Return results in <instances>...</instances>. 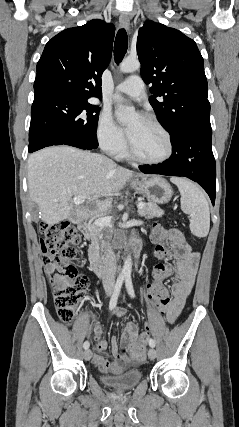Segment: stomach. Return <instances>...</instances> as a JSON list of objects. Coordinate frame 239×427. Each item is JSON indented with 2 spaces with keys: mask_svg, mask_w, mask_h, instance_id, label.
<instances>
[{
  "mask_svg": "<svg viewBox=\"0 0 239 427\" xmlns=\"http://www.w3.org/2000/svg\"><path fill=\"white\" fill-rule=\"evenodd\" d=\"M132 187L141 195L157 204L169 202L173 195L170 184L162 177H143L141 180L131 182Z\"/></svg>",
  "mask_w": 239,
  "mask_h": 427,
  "instance_id": "1",
  "label": "stomach"
}]
</instances>
